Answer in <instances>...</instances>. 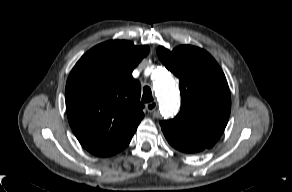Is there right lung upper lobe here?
<instances>
[{
  "mask_svg": "<svg viewBox=\"0 0 292 192\" xmlns=\"http://www.w3.org/2000/svg\"><path fill=\"white\" fill-rule=\"evenodd\" d=\"M149 47L126 40L99 44L72 69L65 88L69 124L86 149L113 148L130 141L144 117L133 69Z\"/></svg>",
  "mask_w": 292,
  "mask_h": 192,
  "instance_id": "right-lung-upper-lobe-1",
  "label": "right lung upper lobe"
}]
</instances>
